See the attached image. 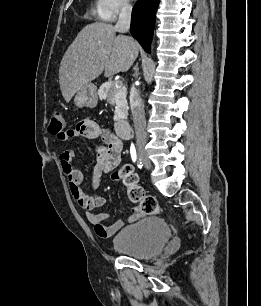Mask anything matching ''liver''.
<instances>
[{"mask_svg":"<svg viewBox=\"0 0 261 306\" xmlns=\"http://www.w3.org/2000/svg\"><path fill=\"white\" fill-rule=\"evenodd\" d=\"M139 53L131 37L118 35L111 24L96 22L86 25L64 54L59 68V84L68 103L85 84L99 77H112L126 72Z\"/></svg>","mask_w":261,"mask_h":306,"instance_id":"liver-1","label":"liver"}]
</instances>
